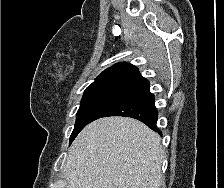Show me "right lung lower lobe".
<instances>
[{"instance_id":"98d812e1","label":"right lung lower lobe","mask_w":224,"mask_h":188,"mask_svg":"<svg viewBox=\"0 0 224 188\" xmlns=\"http://www.w3.org/2000/svg\"><path fill=\"white\" fill-rule=\"evenodd\" d=\"M107 116L135 118L147 124L154 131L161 133L155 126L158 113L154 95L150 93L148 80L142 76L132 80L109 99L95 112L89 123Z\"/></svg>"}]
</instances>
